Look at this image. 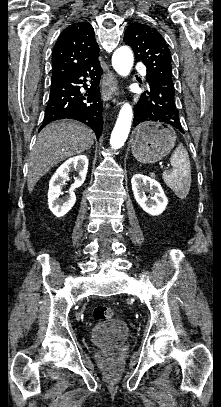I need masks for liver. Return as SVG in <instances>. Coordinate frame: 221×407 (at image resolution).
Instances as JSON below:
<instances>
[{
  "label": "liver",
  "mask_w": 221,
  "mask_h": 407,
  "mask_svg": "<svg viewBox=\"0 0 221 407\" xmlns=\"http://www.w3.org/2000/svg\"><path fill=\"white\" fill-rule=\"evenodd\" d=\"M94 137L90 128L72 120L57 121L44 127L30 154L27 175L29 193L52 167L88 150L94 143Z\"/></svg>",
  "instance_id": "1"
}]
</instances>
